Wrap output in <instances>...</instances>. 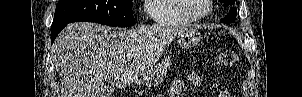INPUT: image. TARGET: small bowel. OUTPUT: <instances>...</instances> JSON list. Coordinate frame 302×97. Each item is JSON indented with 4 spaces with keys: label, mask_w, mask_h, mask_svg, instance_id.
<instances>
[{
    "label": "small bowel",
    "mask_w": 302,
    "mask_h": 97,
    "mask_svg": "<svg viewBox=\"0 0 302 97\" xmlns=\"http://www.w3.org/2000/svg\"><path fill=\"white\" fill-rule=\"evenodd\" d=\"M186 82H190L194 86H199L201 84V78L199 75L193 73L184 78L175 79L172 83L169 97H180ZM217 97H229V95L225 91L220 90Z\"/></svg>",
    "instance_id": "obj_1"
}]
</instances>
